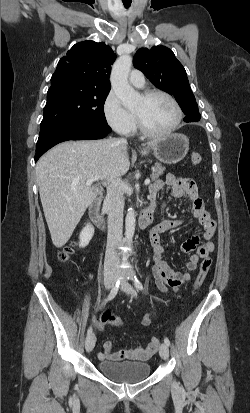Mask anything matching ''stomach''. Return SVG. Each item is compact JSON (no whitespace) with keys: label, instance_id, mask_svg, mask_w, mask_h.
<instances>
[{"label":"stomach","instance_id":"stomach-1","mask_svg":"<svg viewBox=\"0 0 250 413\" xmlns=\"http://www.w3.org/2000/svg\"><path fill=\"white\" fill-rule=\"evenodd\" d=\"M153 155L166 164H176L181 161L189 150V139L184 134L173 133L156 140L155 145L149 148ZM149 151L142 152L147 155Z\"/></svg>","mask_w":250,"mask_h":413}]
</instances>
